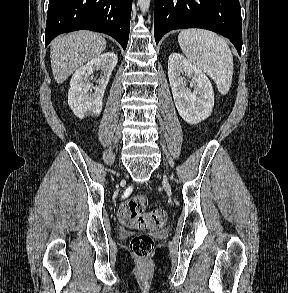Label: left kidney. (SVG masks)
Wrapping results in <instances>:
<instances>
[{"label":"left kidney","instance_id":"obj_1","mask_svg":"<svg viewBox=\"0 0 288 293\" xmlns=\"http://www.w3.org/2000/svg\"><path fill=\"white\" fill-rule=\"evenodd\" d=\"M191 80L193 91L185 88L186 79ZM168 77L179 115L189 124L207 119L214 106V91L208 77L179 53L168 59Z\"/></svg>","mask_w":288,"mask_h":293}]
</instances>
